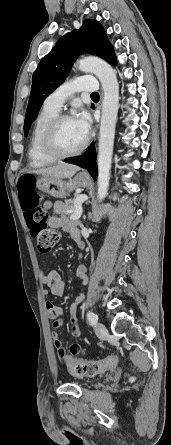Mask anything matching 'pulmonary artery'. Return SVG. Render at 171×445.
Here are the masks:
<instances>
[{
    "instance_id": "e3ab8cb5",
    "label": "pulmonary artery",
    "mask_w": 171,
    "mask_h": 445,
    "mask_svg": "<svg viewBox=\"0 0 171 445\" xmlns=\"http://www.w3.org/2000/svg\"><path fill=\"white\" fill-rule=\"evenodd\" d=\"M96 79L92 76H80L68 81L54 90L45 100V105L60 110L67 98L74 92H96Z\"/></svg>"
}]
</instances>
